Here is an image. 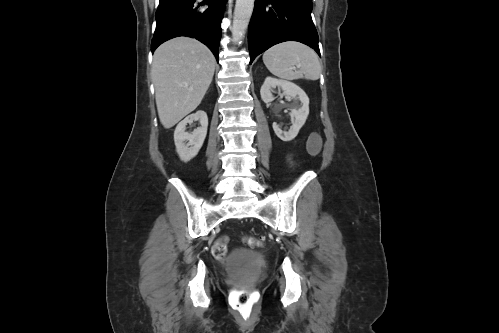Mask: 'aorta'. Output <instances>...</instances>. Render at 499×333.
Returning a JSON list of instances; mask_svg holds the SVG:
<instances>
[{"mask_svg":"<svg viewBox=\"0 0 499 333\" xmlns=\"http://www.w3.org/2000/svg\"><path fill=\"white\" fill-rule=\"evenodd\" d=\"M255 0H236L232 35L236 41H239L245 34L253 12Z\"/></svg>","mask_w":499,"mask_h":333,"instance_id":"762f6f07","label":"aorta"}]
</instances>
